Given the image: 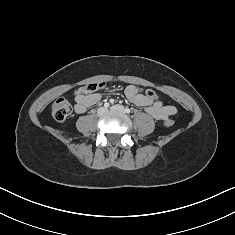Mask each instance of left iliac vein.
Masks as SVG:
<instances>
[{"instance_id":"1","label":"left iliac vein","mask_w":235,"mask_h":235,"mask_svg":"<svg viewBox=\"0 0 235 235\" xmlns=\"http://www.w3.org/2000/svg\"><path fill=\"white\" fill-rule=\"evenodd\" d=\"M110 111L123 113L125 110H124V107L122 105H114L110 108Z\"/></svg>"}]
</instances>
